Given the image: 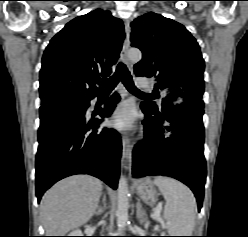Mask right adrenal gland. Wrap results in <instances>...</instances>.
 <instances>
[{"label":"right adrenal gland","mask_w":248,"mask_h":237,"mask_svg":"<svg viewBox=\"0 0 248 237\" xmlns=\"http://www.w3.org/2000/svg\"><path fill=\"white\" fill-rule=\"evenodd\" d=\"M102 204H103L102 206H98V208H97V210L95 212L96 216H100L104 212V210L106 208V198H105V196H103V198H102Z\"/></svg>","instance_id":"1"}]
</instances>
